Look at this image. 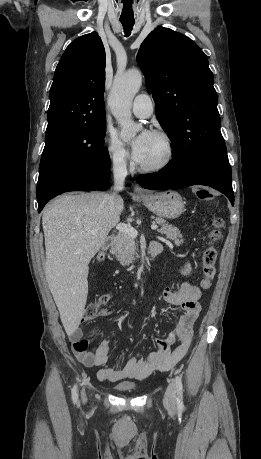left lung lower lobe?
<instances>
[{"label":"left lung lower lobe","instance_id":"obj_1","mask_svg":"<svg viewBox=\"0 0 261 459\" xmlns=\"http://www.w3.org/2000/svg\"><path fill=\"white\" fill-rule=\"evenodd\" d=\"M137 182L151 190L206 185L225 194L234 205L231 167L226 151L198 158L184 170L169 163L158 173L139 176Z\"/></svg>","mask_w":261,"mask_h":459}]
</instances>
